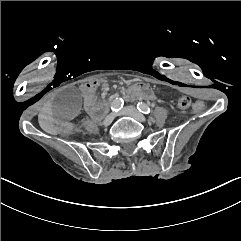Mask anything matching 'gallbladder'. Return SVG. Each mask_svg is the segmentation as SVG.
<instances>
[{
  "label": "gallbladder",
  "mask_w": 241,
  "mask_h": 241,
  "mask_svg": "<svg viewBox=\"0 0 241 241\" xmlns=\"http://www.w3.org/2000/svg\"><path fill=\"white\" fill-rule=\"evenodd\" d=\"M80 91L76 87H66L54 98V112L61 120L71 119L80 112Z\"/></svg>",
  "instance_id": "1"
}]
</instances>
